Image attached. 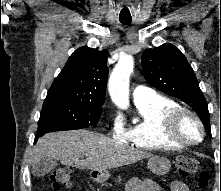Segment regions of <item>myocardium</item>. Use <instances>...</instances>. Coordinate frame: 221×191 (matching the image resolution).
Here are the masks:
<instances>
[{
  "label": "myocardium",
  "instance_id": "obj_1",
  "mask_svg": "<svg viewBox=\"0 0 221 191\" xmlns=\"http://www.w3.org/2000/svg\"><path fill=\"white\" fill-rule=\"evenodd\" d=\"M185 121L193 122L198 128L199 136L197 139L188 138L183 130L182 125ZM164 135L174 143L183 145H196L203 141L205 130L200 118L190 109L185 107H176L165 114L163 121Z\"/></svg>",
  "mask_w": 221,
  "mask_h": 191
}]
</instances>
